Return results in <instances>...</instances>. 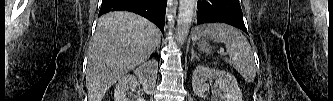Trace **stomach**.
<instances>
[{
    "mask_svg": "<svg viewBox=\"0 0 333 101\" xmlns=\"http://www.w3.org/2000/svg\"><path fill=\"white\" fill-rule=\"evenodd\" d=\"M197 45L200 51L210 52L211 47L207 39L203 38L202 40L197 42Z\"/></svg>",
    "mask_w": 333,
    "mask_h": 101,
    "instance_id": "1",
    "label": "stomach"
}]
</instances>
